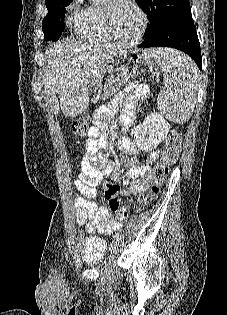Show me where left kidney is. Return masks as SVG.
I'll list each match as a JSON object with an SVG mask.
<instances>
[{
    "label": "left kidney",
    "mask_w": 227,
    "mask_h": 315,
    "mask_svg": "<svg viewBox=\"0 0 227 315\" xmlns=\"http://www.w3.org/2000/svg\"><path fill=\"white\" fill-rule=\"evenodd\" d=\"M170 125L159 113H151L142 124L134 129V138L138 148L152 151L167 136Z\"/></svg>",
    "instance_id": "left-kidney-1"
}]
</instances>
